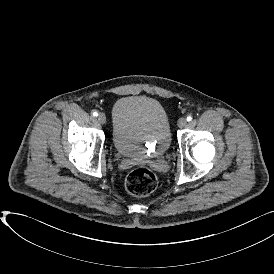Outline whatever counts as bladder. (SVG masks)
Segmentation results:
<instances>
[{
    "instance_id": "bladder-1",
    "label": "bladder",
    "mask_w": 274,
    "mask_h": 274,
    "mask_svg": "<svg viewBox=\"0 0 274 274\" xmlns=\"http://www.w3.org/2000/svg\"><path fill=\"white\" fill-rule=\"evenodd\" d=\"M112 142L119 155L146 159L167 151L171 127L163 105L148 96H125L112 109Z\"/></svg>"
}]
</instances>
